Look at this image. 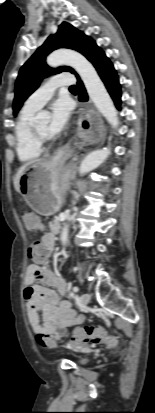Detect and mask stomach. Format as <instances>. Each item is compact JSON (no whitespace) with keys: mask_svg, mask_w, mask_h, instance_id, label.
<instances>
[{"mask_svg":"<svg viewBox=\"0 0 155 413\" xmlns=\"http://www.w3.org/2000/svg\"><path fill=\"white\" fill-rule=\"evenodd\" d=\"M69 177L54 160L37 162L20 177L19 193L34 211L49 216L61 208Z\"/></svg>","mask_w":155,"mask_h":413,"instance_id":"obj_1","label":"stomach"}]
</instances>
